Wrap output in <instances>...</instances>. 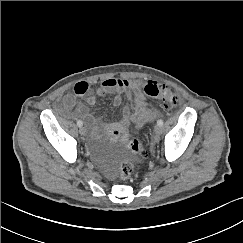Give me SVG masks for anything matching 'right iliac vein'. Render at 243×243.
I'll return each instance as SVG.
<instances>
[{"instance_id": "1", "label": "right iliac vein", "mask_w": 243, "mask_h": 243, "mask_svg": "<svg viewBox=\"0 0 243 243\" xmlns=\"http://www.w3.org/2000/svg\"><path fill=\"white\" fill-rule=\"evenodd\" d=\"M79 132L82 136H85L86 135V129L85 127L81 126L80 129H79Z\"/></svg>"}]
</instances>
